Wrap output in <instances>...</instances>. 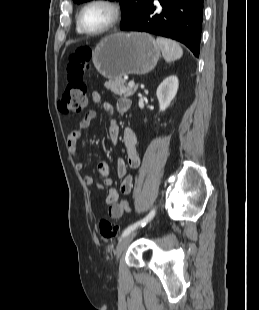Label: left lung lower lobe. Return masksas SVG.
<instances>
[{"label": "left lung lower lobe", "mask_w": 259, "mask_h": 310, "mask_svg": "<svg viewBox=\"0 0 259 310\" xmlns=\"http://www.w3.org/2000/svg\"><path fill=\"white\" fill-rule=\"evenodd\" d=\"M155 1L162 6L157 10ZM203 0H150L142 13L121 25V30L141 31L172 38L199 57Z\"/></svg>", "instance_id": "1"}]
</instances>
